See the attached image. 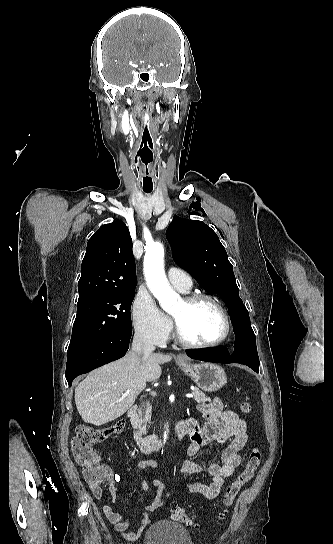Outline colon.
Here are the masks:
<instances>
[{"label": "colon", "mask_w": 333, "mask_h": 544, "mask_svg": "<svg viewBox=\"0 0 333 544\" xmlns=\"http://www.w3.org/2000/svg\"><path fill=\"white\" fill-rule=\"evenodd\" d=\"M240 410L249 414L252 412V405L247 401L240 403ZM122 419L104 427L79 426L72 439V453L79 466L83 468V476L90 487H99L106 477L105 467L100 462L99 455L95 452L94 446L109 436L119 434L124 429ZM262 461L260 449L253 448L247 455L243 469L237 475L234 481L227 487L223 505L224 511L221 516L224 517L227 510L232 506L240 490L253 478L256 470ZM171 519L181 522L189 527L197 528L193 516L180 507H176L170 512Z\"/></svg>", "instance_id": "1"}]
</instances>
